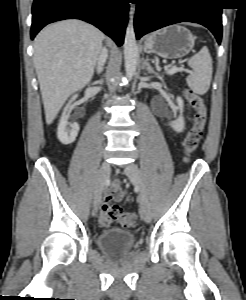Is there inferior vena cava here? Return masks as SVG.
<instances>
[{
  "instance_id": "602c4592",
  "label": "inferior vena cava",
  "mask_w": 246,
  "mask_h": 300,
  "mask_svg": "<svg viewBox=\"0 0 246 300\" xmlns=\"http://www.w3.org/2000/svg\"><path fill=\"white\" fill-rule=\"evenodd\" d=\"M107 59V50L106 48H103L99 54V57L97 59V72L101 73L103 70L104 63L106 62Z\"/></svg>"
}]
</instances>
